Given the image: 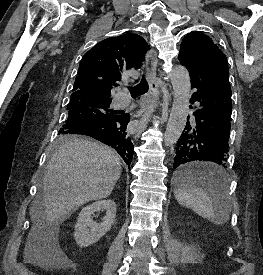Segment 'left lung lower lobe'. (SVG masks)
I'll use <instances>...</instances> for the list:
<instances>
[{
    "mask_svg": "<svg viewBox=\"0 0 263 275\" xmlns=\"http://www.w3.org/2000/svg\"><path fill=\"white\" fill-rule=\"evenodd\" d=\"M189 73L192 88L196 89L190 103L199 104L193 113L195 121L190 122L187 118L186 128L177 142L173 167L179 181L198 182L215 194L223 177L197 167L193 162L211 161L226 165L232 113L229 73L221 71L207 76L193 71Z\"/></svg>",
    "mask_w": 263,
    "mask_h": 275,
    "instance_id": "0a47b994",
    "label": "left lung lower lobe"
}]
</instances>
